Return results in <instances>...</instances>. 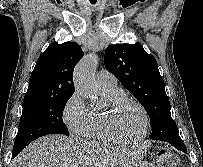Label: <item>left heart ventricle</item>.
I'll return each mask as SVG.
<instances>
[{
    "mask_svg": "<svg viewBox=\"0 0 203 167\" xmlns=\"http://www.w3.org/2000/svg\"><path fill=\"white\" fill-rule=\"evenodd\" d=\"M143 115L141 111L130 103L120 104L113 117V128L117 135L124 139H134L143 129Z\"/></svg>",
    "mask_w": 203,
    "mask_h": 167,
    "instance_id": "b2bd125f",
    "label": "left heart ventricle"
}]
</instances>
